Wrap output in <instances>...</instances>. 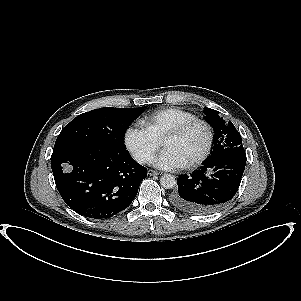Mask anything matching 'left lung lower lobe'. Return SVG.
<instances>
[{
    "instance_id": "0a47b994",
    "label": "left lung lower lobe",
    "mask_w": 301,
    "mask_h": 301,
    "mask_svg": "<svg viewBox=\"0 0 301 301\" xmlns=\"http://www.w3.org/2000/svg\"><path fill=\"white\" fill-rule=\"evenodd\" d=\"M246 164L242 146L230 147L209 157L190 176L180 175L171 203L184 211L206 214L225 206L236 194Z\"/></svg>"
}]
</instances>
